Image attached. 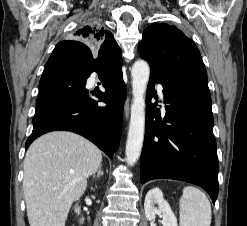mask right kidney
<instances>
[{
  "label": "right kidney",
  "mask_w": 247,
  "mask_h": 226,
  "mask_svg": "<svg viewBox=\"0 0 247 226\" xmlns=\"http://www.w3.org/2000/svg\"><path fill=\"white\" fill-rule=\"evenodd\" d=\"M75 212H76L77 214H79V213H80V208H79V207H76V208H75ZM83 221H84V218H81V223H83Z\"/></svg>",
  "instance_id": "obj_1"
}]
</instances>
